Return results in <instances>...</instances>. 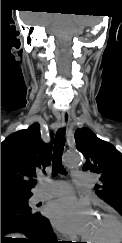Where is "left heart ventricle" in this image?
Listing matches in <instances>:
<instances>
[{
  "mask_svg": "<svg viewBox=\"0 0 122 243\" xmlns=\"http://www.w3.org/2000/svg\"><path fill=\"white\" fill-rule=\"evenodd\" d=\"M114 233L113 224L102 216L93 217L86 238L93 241H107Z\"/></svg>",
  "mask_w": 122,
  "mask_h": 243,
  "instance_id": "b2bd125f",
  "label": "left heart ventricle"
}]
</instances>
